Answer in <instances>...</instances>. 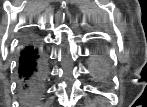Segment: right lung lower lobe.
Segmentation results:
<instances>
[{"instance_id":"right-lung-lower-lobe-1","label":"right lung lower lobe","mask_w":147,"mask_h":107,"mask_svg":"<svg viewBox=\"0 0 147 107\" xmlns=\"http://www.w3.org/2000/svg\"><path fill=\"white\" fill-rule=\"evenodd\" d=\"M18 74L25 101L32 103L40 97L46 80L44 56L37 43L28 42L21 50Z\"/></svg>"}]
</instances>
